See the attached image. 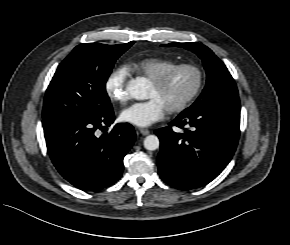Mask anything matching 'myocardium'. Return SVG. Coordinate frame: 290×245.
<instances>
[{
	"instance_id": "myocardium-1",
	"label": "myocardium",
	"mask_w": 290,
	"mask_h": 245,
	"mask_svg": "<svg viewBox=\"0 0 290 245\" xmlns=\"http://www.w3.org/2000/svg\"><path fill=\"white\" fill-rule=\"evenodd\" d=\"M182 69L193 70L197 74V82L193 90L188 94V96L183 99L177 105L167 109V112L171 114H176L187 109L200 94L203 84H204V72L200 66L194 63H179L171 66L170 68L163 71L157 77L151 80V83L158 88L164 87L172 75Z\"/></svg>"
}]
</instances>
